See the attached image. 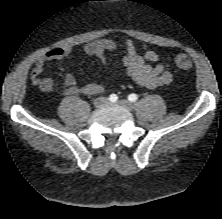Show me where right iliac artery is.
I'll return each mask as SVG.
<instances>
[{
  "instance_id": "obj_1",
  "label": "right iliac artery",
  "mask_w": 222,
  "mask_h": 219,
  "mask_svg": "<svg viewBox=\"0 0 222 219\" xmlns=\"http://www.w3.org/2000/svg\"><path fill=\"white\" fill-rule=\"evenodd\" d=\"M117 99H118V97H117V95H115V94H112V95H110V97H109V100H110L111 102H116Z\"/></svg>"
}]
</instances>
